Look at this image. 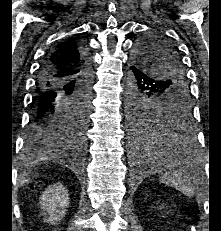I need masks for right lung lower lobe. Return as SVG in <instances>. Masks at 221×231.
I'll use <instances>...</instances> for the list:
<instances>
[{"label": "right lung lower lobe", "mask_w": 221, "mask_h": 231, "mask_svg": "<svg viewBox=\"0 0 221 231\" xmlns=\"http://www.w3.org/2000/svg\"><path fill=\"white\" fill-rule=\"evenodd\" d=\"M54 68L43 63L37 79L36 94L33 99V112L24 150L27 156L60 154L63 151L82 155L83 144L71 138L63 127V113L69 102L83 97L90 102L91 62L84 54L81 59V73L75 79L62 83L50 79Z\"/></svg>", "instance_id": "obj_1"}]
</instances>
